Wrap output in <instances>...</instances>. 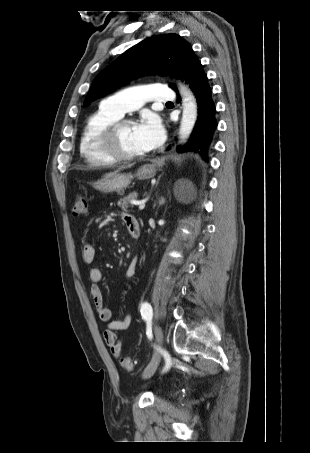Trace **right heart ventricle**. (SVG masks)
Wrapping results in <instances>:
<instances>
[{
	"instance_id": "right-heart-ventricle-1",
	"label": "right heart ventricle",
	"mask_w": 310,
	"mask_h": 453,
	"mask_svg": "<svg viewBox=\"0 0 310 453\" xmlns=\"http://www.w3.org/2000/svg\"><path fill=\"white\" fill-rule=\"evenodd\" d=\"M121 116L105 108L102 104L91 114L84 125L80 139V153L85 162L96 168L111 167L117 163L107 156L100 146L102 132Z\"/></svg>"
}]
</instances>
